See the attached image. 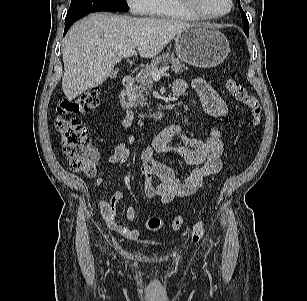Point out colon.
I'll use <instances>...</instances> for the list:
<instances>
[{"label": "colon", "mask_w": 307, "mask_h": 301, "mask_svg": "<svg viewBox=\"0 0 307 301\" xmlns=\"http://www.w3.org/2000/svg\"><path fill=\"white\" fill-rule=\"evenodd\" d=\"M225 87L232 98L243 104L250 111V122L253 128L262 121V106L258 98L247 92L245 87L235 79L225 80ZM98 88L88 89L74 99H64L57 107L55 118L56 129L61 138L65 155L69 159L70 169L85 175H95L100 159L98 151L91 145L88 130L83 126L77 115L90 112L99 105ZM184 224V218L176 216L169 222L173 231H179ZM165 222L158 217H151L146 221V228L152 231L160 230ZM203 224L194 227L196 235H201Z\"/></svg>", "instance_id": "colon-1"}]
</instances>
